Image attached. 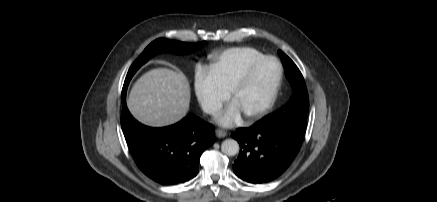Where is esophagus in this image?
Wrapping results in <instances>:
<instances>
[{"mask_svg":"<svg viewBox=\"0 0 437 202\" xmlns=\"http://www.w3.org/2000/svg\"><path fill=\"white\" fill-rule=\"evenodd\" d=\"M215 132H216V136L218 138H223V137L227 136V132L224 130L217 129Z\"/></svg>","mask_w":437,"mask_h":202,"instance_id":"1","label":"esophagus"}]
</instances>
